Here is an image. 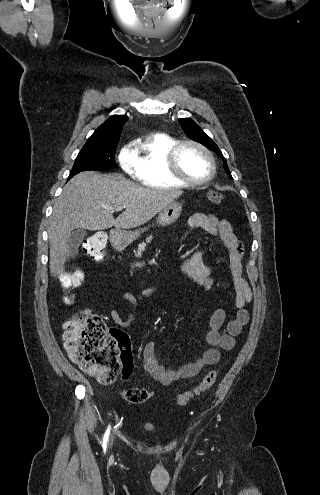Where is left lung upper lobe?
<instances>
[{
    "label": "left lung upper lobe",
    "instance_id": "1",
    "mask_svg": "<svg viewBox=\"0 0 320 495\" xmlns=\"http://www.w3.org/2000/svg\"><path fill=\"white\" fill-rule=\"evenodd\" d=\"M179 122H180L184 132L186 133V135L190 139L197 141V142L201 143L202 145H204L205 147H207L208 149L216 152L217 155L224 160V169H225L226 173L232 178L231 173H230L229 168H228L227 163H226V159L222 155L218 146L213 142V140L208 135H206L203 132V130L192 119L182 118V119H179Z\"/></svg>",
    "mask_w": 320,
    "mask_h": 495
}]
</instances>
